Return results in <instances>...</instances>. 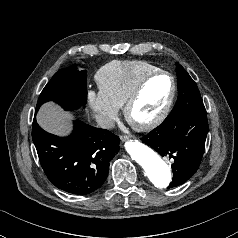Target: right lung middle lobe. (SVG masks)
<instances>
[{"instance_id":"dd1d6c3e","label":"right lung middle lobe","mask_w":238,"mask_h":238,"mask_svg":"<svg viewBox=\"0 0 238 238\" xmlns=\"http://www.w3.org/2000/svg\"><path fill=\"white\" fill-rule=\"evenodd\" d=\"M86 71H77L76 64L69 69H61L42 90L36 111L47 101H55L66 110H74L85 104L87 98Z\"/></svg>"}]
</instances>
